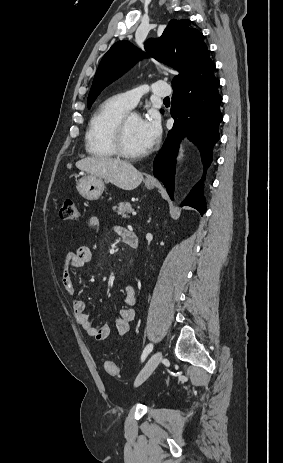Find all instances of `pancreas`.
Returning <instances> with one entry per match:
<instances>
[{"label":"pancreas","instance_id":"pancreas-1","mask_svg":"<svg viewBox=\"0 0 283 463\" xmlns=\"http://www.w3.org/2000/svg\"><path fill=\"white\" fill-rule=\"evenodd\" d=\"M113 210L123 218H129L128 213L133 212V208L129 202H121L113 207Z\"/></svg>","mask_w":283,"mask_h":463}]
</instances>
